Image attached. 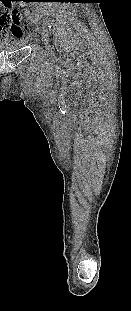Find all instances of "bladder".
I'll return each instance as SVG.
<instances>
[{"label": "bladder", "instance_id": "obj_1", "mask_svg": "<svg viewBox=\"0 0 131 311\" xmlns=\"http://www.w3.org/2000/svg\"><path fill=\"white\" fill-rule=\"evenodd\" d=\"M25 45V42L14 41L9 43H0V52L15 51L21 49Z\"/></svg>", "mask_w": 131, "mask_h": 311}]
</instances>
